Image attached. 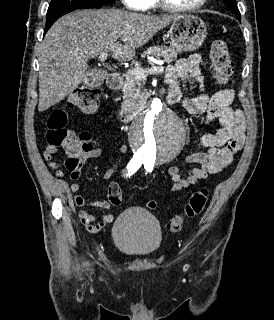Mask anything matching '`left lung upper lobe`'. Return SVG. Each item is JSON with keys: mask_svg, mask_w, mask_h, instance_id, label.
<instances>
[{"mask_svg": "<svg viewBox=\"0 0 274 320\" xmlns=\"http://www.w3.org/2000/svg\"><path fill=\"white\" fill-rule=\"evenodd\" d=\"M223 2L233 13H235L236 15L240 14L236 0H223Z\"/></svg>", "mask_w": 274, "mask_h": 320, "instance_id": "5c2ea615", "label": "left lung upper lobe"}]
</instances>
